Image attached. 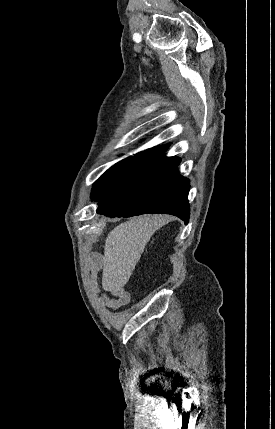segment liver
Wrapping results in <instances>:
<instances>
[{
	"label": "liver",
	"instance_id": "6515ba94",
	"mask_svg": "<svg viewBox=\"0 0 275 429\" xmlns=\"http://www.w3.org/2000/svg\"><path fill=\"white\" fill-rule=\"evenodd\" d=\"M171 220L165 215H143L115 227L104 246L102 286L117 295L128 282L151 236Z\"/></svg>",
	"mask_w": 275,
	"mask_h": 429
}]
</instances>
